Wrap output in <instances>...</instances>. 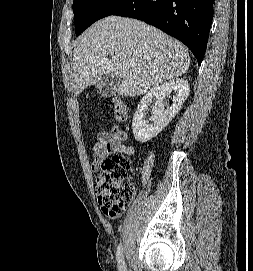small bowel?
<instances>
[{"label": "small bowel", "instance_id": "1", "mask_svg": "<svg viewBox=\"0 0 253 271\" xmlns=\"http://www.w3.org/2000/svg\"><path fill=\"white\" fill-rule=\"evenodd\" d=\"M127 139L125 130L118 127L111 128L108 132H101L96 136L93 144V160L91 170L97 171L101 161L111 154H125L131 156L134 154V148L130 145H125Z\"/></svg>", "mask_w": 253, "mask_h": 271}]
</instances>
